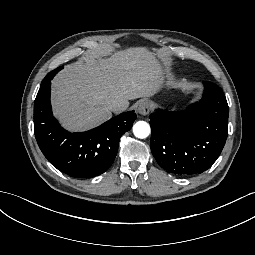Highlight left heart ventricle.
I'll use <instances>...</instances> for the list:
<instances>
[{
  "label": "left heart ventricle",
  "mask_w": 255,
  "mask_h": 255,
  "mask_svg": "<svg viewBox=\"0 0 255 255\" xmlns=\"http://www.w3.org/2000/svg\"><path fill=\"white\" fill-rule=\"evenodd\" d=\"M118 99L123 102L127 103L129 99L126 93H117ZM169 105V98L165 94H159L152 97L149 101L150 113L149 119L152 123H157L162 119L163 113L165 109Z\"/></svg>",
  "instance_id": "1"
}]
</instances>
